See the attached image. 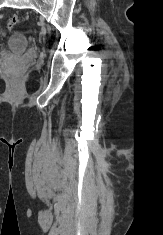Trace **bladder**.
I'll list each match as a JSON object with an SVG mask.
<instances>
[{
    "instance_id": "bladder-1",
    "label": "bladder",
    "mask_w": 163,
    "mask_h": 235,
    "mask_svg": "<svg viewBox=\"0 0 163 235\" xmlns=\"http://www.w3.org/2000/svg\"><path fill=\"white\" fill-rule=\"evenodd\" d=\"M6 46L14 52L23 51L28 46V39L24 33H13L6 40Z\"/></svg>"
}]
</instances>
